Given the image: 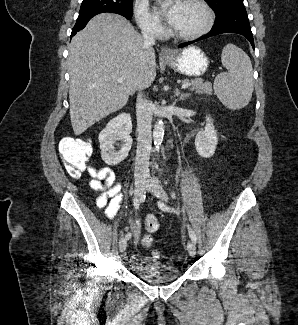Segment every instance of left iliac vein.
<instances>
[{
  "mask_svg": "<svg viewBox=\"0 0 298 325\" xmlns=\"http://www.w3.org/2000/svg\"><path fill=\"white\" fill-rule=\"evenodd\" d=\"M146 189L152 192L156 197H158L162 201H167L168 196L162 186L158 183L154 178L148 177L146 183ZM187 250L191 257H194L196 254V246L192 240H189L187 243Z\"/></svg>",
  "mask_w": 298,
  "mask_h": 325,
  "instance_id": "1",
  "label": "left iliac vein"
}]
</instances>
